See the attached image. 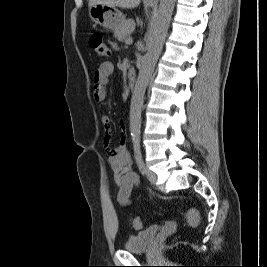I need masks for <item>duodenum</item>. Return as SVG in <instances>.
Instances as JSON below:
<instances>
[{
    "instance_id": "410a0bca",
    "label": "duodenum",
    "mask_w": 267,
    "mask_h": 267,
    "mask_svg": "<svg viewBox=\"0 0 267 267\" xmlns=\"http://www.w3.org/2000/svg\"><path fill=\"white\" fill-rule=\"evenodd\" d=\"M128 83L131 88L134 87V84L136 82V70L134 68H130L128 70Z\"/></svg>"
}]
</instances>
